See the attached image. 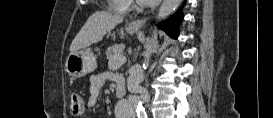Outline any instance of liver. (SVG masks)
<instances>
[{
    "instance_id": "1",
    "label": "liver",
    "mask_w": 273,
    "mask_h": 118,
    "mask_svg": "<svg viewBox=\"0 0 273 118\" xmlns=\"http://www.w3.org/2000/svg\"><path fill=\"white\" fill-rule=\"evenodd\" d=\"M123 21V16L106 11L92 14L70 45V52L100 42L105 34Z\"/></svg>"
}]
</instances>
